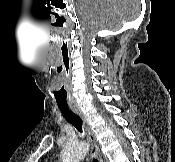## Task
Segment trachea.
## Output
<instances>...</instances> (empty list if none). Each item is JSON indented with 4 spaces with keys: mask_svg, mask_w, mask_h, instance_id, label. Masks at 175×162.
Returning a JSON list of instances; mask_svg holds the SVG:
<instances>
[{
    "mask_svg": "<svg viewBox=\"0 0 175 162\" xmlns=\"http://www.w3.org/2000/svg\"><path fill=\"white\" fill-rule=\"evenodd\" d=\"M63 117L72 124L80 133L83 132L82 129V120L81 118L75 114L71 109L68 107H59ZM93 162H99L97 159H94Z\"/></svg>",
    "mask_w": 175,
    "mask_h": 162,
    "instance_id": "obj_1",
    "label": "trachea"
}]
</instances>
